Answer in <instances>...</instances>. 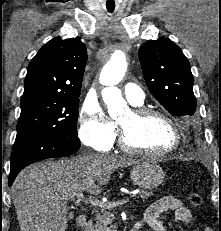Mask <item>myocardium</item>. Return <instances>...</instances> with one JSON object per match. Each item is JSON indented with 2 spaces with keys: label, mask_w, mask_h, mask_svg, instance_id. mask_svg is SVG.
I'll list each match as a JSON object with an SVG mask.
<instances>
[{
  "label": "myocardium",
  "mask_w": 221,
  "mask_h": 231,
  "mask_svg": "<svg viewBox=\"0 0 221 231\" xmlns=\"http://www.w3.org/2000/svg\"><path fill=\"white\" fill-rule=\"evenodd\" d=\"M130 112H131L133 119L136 122H141V121L145 120L146 118L154 117V116H157V117H160V118H163L164 120H166L172 126V128L174 130L175 143L170 149L162 151V152H155V151H150V150L141 148V147L137 146L130 139L129 133L126 130V128H124L121 124L118 123L119 145L123 150L130 152V153L142 154V155L152 156V157H156V158L167 157L170 154H172L178 150V148L180 147L181 142H182V133H181L180 127H179V125H178V123L174 117H172L170 114H168L167 112H165L161 109H156V108H152V107H145V106L135 107Z\"/></svg>",
  "instance_id": "myocardium-1"
}]
</instances>
